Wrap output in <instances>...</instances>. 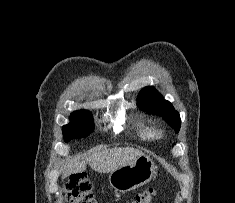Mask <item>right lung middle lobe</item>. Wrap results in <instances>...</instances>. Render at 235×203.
Wrapping results in <instances>:
<instances>
[{"label": "right lung middle lobe", "mask_w": 235, "mask_h": 203, "mask_svg": "<svg viewBox=\"0 0 235 203\" xmlns=\"http://www.w3.org/2000/svg\"><path fill=\"white\" fill-rule=\"evenodd\" d=\"M70 120L71 122L62 129L65 142L87 137L94 130L93 118L89 111H75L71 114Z\"/></svg>", "instance_id": "dd1d6c3e"}]
</instances>
